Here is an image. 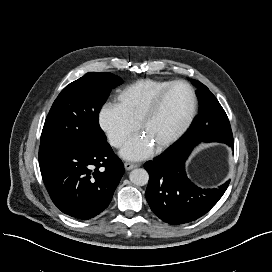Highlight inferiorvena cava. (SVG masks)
I'll return each mask as SVG.
<instances>
[{
	"instance_id": "obj_1",
	"label": "inferior vena cava",
	"mask_w": 272,
	"mask_h": 272,
	"mask_svg": "<svg viewBox=\"0 0 272 272\" xmlns=\"http://www.w3.org/2000/svg\"><path fill=\"white\" fill-rule=\"evenodd\" d=\"M121 143H122V139H120V138L114 139V140L112 141V144H113L114 146H119V145H121Z\"/></svg>"
}]
</instances>
